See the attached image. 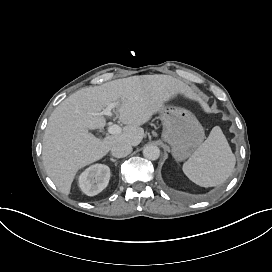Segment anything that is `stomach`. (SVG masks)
<instances>
[{
	"label": "stomach",
	"mask_w": 272,
	"mask_h": 272,
	"mask_svg": "<svg viewBox=\"0 0 272 272\" xmlns=\"http://www.w3.org/2000/svg\"><path fill=\"white\" fill-rule=\"evenodd\" d=\"M162 139L172 145L176 161L189 157L203 142L205 134L202 125L189 111L167 107L162 110Z\"/></svg>",
	"instance_id": "obj_1"
}]
</instances>
